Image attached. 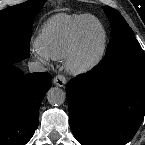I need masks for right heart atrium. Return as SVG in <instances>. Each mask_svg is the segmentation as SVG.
<instances>
[{"label":"right heart atrium","instance_id":"right-heart-atrium-1","mask_svg":"<svg viewBox=\"0 0 145 145\" xmlns=\"http://www.w3.org/2000/svg\"><path fill=\"white\" fill-rule=\"evenodd\" d=\"M33 54L42 63H44V64H48L49 63V57L46 56L45 54L41 53L37 49L33 51Z\"/></svg>","mask_w":145,"mask_h":145}]
</instances>
